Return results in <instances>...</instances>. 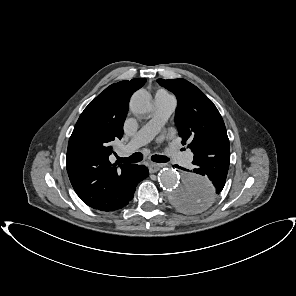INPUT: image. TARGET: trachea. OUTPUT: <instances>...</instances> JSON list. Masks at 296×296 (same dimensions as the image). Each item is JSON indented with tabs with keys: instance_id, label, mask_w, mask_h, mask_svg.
<instances>
[{
	"instance_id": "trachea-1",
	"label": "trachea",
	"mask_w": 296,
	"mask_h": 296,
	"mask_svg": "<svg viewBox=\"0 0 296 296\" xmlns=\"http://www.w3.org/2000/svg\"><path fill=\"white\" fill-rule=\"evenodd\" d=\"M142 160H143V155L140 152H136V153L132 154L131 156L125 157V158L118 157V161L120 163H122V162L137 163ZM151 160L154 162L164 163V162H168L169 158L166 156H162V155H152Z\"/></svg>"
}]
</instances>
